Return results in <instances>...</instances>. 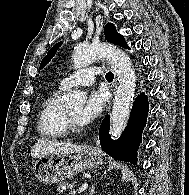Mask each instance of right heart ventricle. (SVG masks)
<instances>
[{"label":"right heart ventricle","instance_id":"right-heart-ventricle-1","mask_svg":"<svg viewBox=\"0 0 189 195\" xmlns=\"http://www.w3.org/2000/svg\"><path fill=\"white\" fill-rule=\"evenodd\" d=\"M64 91L66 90L59 87L43 99L37 118V129L40 137L59 139L65 135V109L60 104V98Z\"/></svg>","mask_w":189,"mask_h":195}]
</instances>
